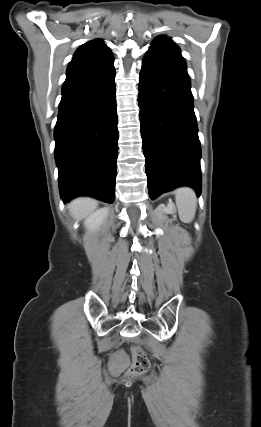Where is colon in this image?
I'll return each mask as SVG.
<instances>
[{"mask_svg": "<svg viewBox=\"0 0 261 427\" xmlns=\"http://www.w3.org/2000/svg\"><path fill=\"white\" fill-rule=\"evenodd\" d=\"M132 357H133L132 365L126 373L128 377L138 376L148 371L150 367V361L146 353L140 346L133 347Z\"/></svg>", "mask_w": 261, "mask_h": 427, "instance_id": "colon-1", "label": "colon"}]
</instances>
